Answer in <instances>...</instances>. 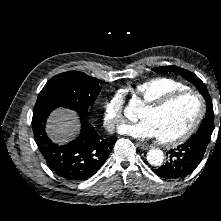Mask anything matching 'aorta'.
<instances>
[{
  "label": "aorta",
  "mask_w": 221,
  "mask_h": 221,
  "mask_svg": "<svg viewBox=\"0 0 221 221\" xmlns=\"http://www.w3.org/2000/svg\"><path fill=\"white\" fill-rule=\"evenodd\" d=\"M134 111H135V107L132 104H130L125 109V115L131 119ZM163 160H164V154L162 150L153 148L147 152V161L149 162V164L153 166H159L163 163Z\"/></svg>",
  "instance_id": "762f6f07"
}]
</instances>
